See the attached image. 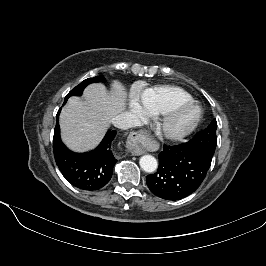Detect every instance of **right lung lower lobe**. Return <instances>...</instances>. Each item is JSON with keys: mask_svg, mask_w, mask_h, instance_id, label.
Returning <instances> with one entry per match:
<instances>
[{"mask_svg": "<svg viewBox=\"0 0 266 266\" xmlns=\"http://www.w3.org/2000/svg\"><path fill=\"white\" fill-rule=\"evenodd\" d=\"M65 104V103H64ZM53 137V152L63 176L75 187L93 191L104 187L111 179L117 162L113 153L116 131H108L100 145L88 153H74L60 139L59 113Z\"/></svg>", "mask_w": 266, "mask_h": 266, "instance_id": "98d812e1", "label": "right lung lower lobe"}]
</instances>
